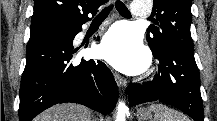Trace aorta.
Masks as SVG:
<instances>
[{"label": "aorta", "mask_w": 217, "mask_h": 121, "mask_svg": "<svg viewBox=\"0 0 217 121\" xmlns=\"http://www.w3.org/2000/svg\"><path fill=\"white\" fill-rule=\"evenodd\" d=\"M128 108L125 105L124 102H119L117 107V114H116V120L115 121H126L125 114L127 113Z\"/></svg>", "instance_id": "762f6f07"}]
</instances>
